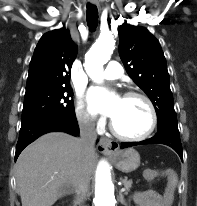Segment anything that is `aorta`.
I'll return each mask as SVG.
<instances>
[{"label":"aorta","instance_id":"1","mask_svg":"<svg viewBox=\"0 0 197 206\" xmlns=\"http://www.w3.org/2000/svg\"><path fill=\"white\" fill-rule=\"evenodd\" d=\"M114 45L115 40L111 33H101L86 54L84 67L87 74L95 82L102 81L103 65L110 59ZM93 203L94 206L116 205L114 185L111 180L109 165L105 161H101L97 168Z\"/></svg>","mask_w":197,"mask_h":206}]
</instances>
